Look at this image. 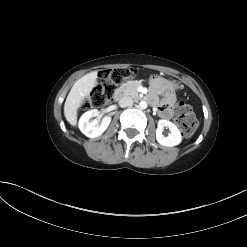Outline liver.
<instances>
[{"instance_id": "obj_1", "label": "liver", "mask_w": 247, "mask_h": 247, "mask_svg": "<svg viewBox=\"0 0 247 247\" xmlns=\"http://www.w3.org/2000/svg\"><path fill=\"white\" fill-rule=\"evenodd\" d=\"M97 74V71H94L84 75L71 88L64 105V115L70 125H77L78 109L96 86Z\"/></svg>"}]
</instances>
